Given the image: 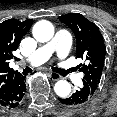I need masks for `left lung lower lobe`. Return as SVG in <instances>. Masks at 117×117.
I'll list each match as a JSON object with an SVG mask.
<instances>
[{
	"label": "left lung lower lobe",
	"mask_w": 117,
	"mask_h": 117,
	"mask_svg": "<svg viewBox=\"0 0 117 117\" xmlns=\"http://www.w3.org/2000/svg\"><path fill=\"white\" fill-rule=\"evenodd\" d=\"M92 97L91 91L83 85L82 88L76 90L71 96L59 98V101L66 106L79 107L87 104Z\"/></svg>",
	"instance_id": "obj_1"
}]
</instances>
